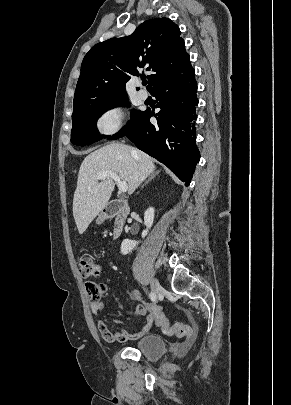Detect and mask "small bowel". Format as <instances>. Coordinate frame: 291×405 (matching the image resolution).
Instances as JSON below:
<instances>
[{
	"instance_id": "c3829d8e",
	"label": "small bowel",
	"mask_w": 291,
	"mask_h": 405,
	"mask_svg": "<svg viewBox=\"0 0 291 405\" xmlns=\"http://www.w3.org/2000/svg\"><path fill=\"white\" fill-rule=\"evenodd\" d=\"M116 300H118V299L116 298ZM92 309H93V311H97V309H98L97 304L92 303ZM147 311H148L147 305L142 304V305H139L136 307L133 314L137 315V316H145L147 314ZM114 322L119 326L123 325V322L119 319H114ZM151 327H152V321L149 317L147 318L146 324L142 328H140L139 330L134 331L132 333L126 332L124 330H121L118 332H112L109 330L107 325L102 320H99L97 323V328H98V331L100 332L102 338L106 342H109V343L126 342L129 340L139 339V338L143 337L144 335L148 334L149 331L151 330Z\"/></svg>"
}]
</instances>
